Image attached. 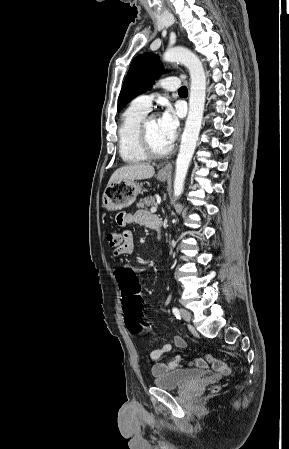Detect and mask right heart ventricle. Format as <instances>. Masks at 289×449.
<instances>
[{"label":"right heart ventricle","instance_id":"e07e8e85","mask_svg":"<svg viewBox=\"0 0 289 449\" xmlns=\"http://www.w3.org/2000/svg\"><path fill=\"white\" fill-rule=\"evenodd\" d=\"M147 111L131 104L123 113L118 129L119 154L127 163H138L147 159L139 143V128Z\"/></svg>","mask_w":289,"mask_h":449}]
</instances>
